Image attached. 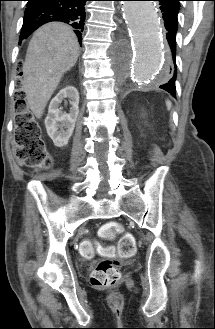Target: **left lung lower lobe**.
Returning <instances> with one entry per match:
<instances>
[{
  "label": "left lung lower lobe",
  "mask_w": 215,
  "mask_h": 329,
  "mask_svg": "<svg viewBox=\"0 0 215 329\" xmlns=\"http://www.w3.org/2000/svg\"><path fill=\"white\" fill-rule=\"evenodd\" d=\"M160 2V10L162 11L164 25L167 30V72L168 79L162 85L161 89L169 92L173 97L175 93V80H176V33L178 28V11L180 5L175 3L173 0H156Z\"/></svg>",
  "instance_id": "1"
}]
</instances>
